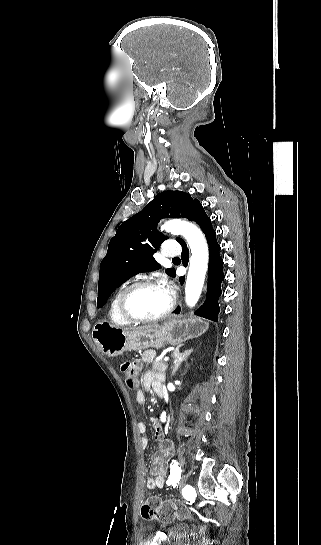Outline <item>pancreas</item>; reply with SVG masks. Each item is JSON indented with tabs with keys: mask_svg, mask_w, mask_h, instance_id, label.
Here are the masks:
<instances>
[{
	"mask_svg": "<svg viewBox=\"0 0 321 545\" xmlns=\"http://www.w3.org/2000/svg\"><path fill=\"white\" fill-rule=\"evenodd\" d=\"M168 365L166 363H162V361H153L152 363V371L153 373H165Z\"/></svg>",
	"mask_w": 321,
	"mask_h": 545,
	"instance_id": "pancreas-1",
	"label": "pancreas"
}]
</instances>
